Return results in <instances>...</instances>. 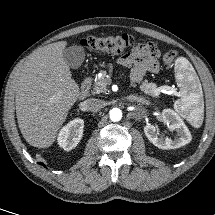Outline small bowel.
Listing matches in <instances>:
<instances>
[{
  "label": "small bowel",
  "instance_id": "obj_1",
  "mask_svg": "<svg viewBox=\"0 0 215 215\" xmlns=\"http://www.w3.org/2000/svg\"><path fill=\"white\" fill-rule=\"evenodd\" d=\"M158 56L159 51L154 43H140L120 57L118 62L131 70V81L139 83L147 73L159 72Z\"/></svg>",
  "mask_w": 215,
  "mask_h": 215
}]
</instances>
